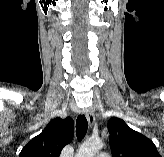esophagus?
<instances>
[{"instance_id": "34e87169", "label": "esophagus", "mask_w": 164, "mask_h": 157, "mask_svg": "<svg viewBox=\"0 0 164 157\" xmlns=\"http://www.w3.org/2000/svg\"><path fill=\"white\" fill-rule=\"evenodd\" d=\"M86 117H87V120H88L90 127H92L94 122H95V116H94V113L91 109L87 110Z\"/></svg>"}]
</instances>
